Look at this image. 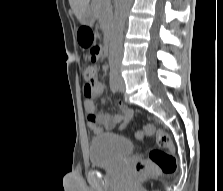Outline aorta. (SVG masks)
Instances as JSON below:
<instances>
[{
  "instance_id": "1",
  "label": "aorta",
  "mask_w": 223,
  "mask_h": 191,
  "mask_svg": "<svg viewBox=\"0 0 223 191\" xmlns=\"http://www.w3.org/2000/svg\"><path fill=\"white\" fill-rule=\"evenodd\" d=\"M132 0H117L114 12V29L110 41L109 62L119 65L122 59L124 25Z\"/></svg>"
}]
</instances>
